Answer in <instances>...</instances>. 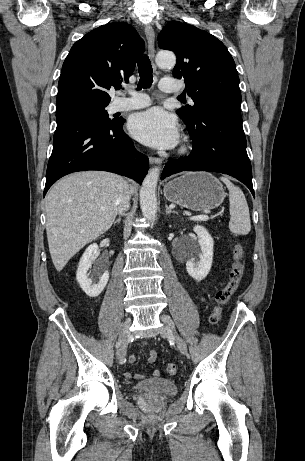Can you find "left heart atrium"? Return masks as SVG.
<instances>
[{"mask_svg": "<svg viewBox=\"0 0 305 461\" xmlns=\"http://www.w3.org/2000/svg\"><path fill=\"white\" fill-rule=\"evenodd\" d=\"M129 128L133 137L154 148H172L179 139L176 119L159 107L135 114Z\"/></svg>", "mask_w": 305, "mask_h": 461, "instance_id": "1", "label": "left heart atrium"}]
</instances>
